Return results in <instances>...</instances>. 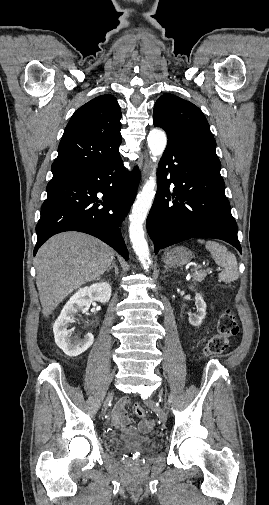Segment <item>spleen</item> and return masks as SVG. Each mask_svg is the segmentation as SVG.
Segmentation results:
<instances>
[{"mask_svg":"<svg viewBox=\"0 0 269 505\" xmlns=\"http://www.w3.org/2000/svg\"><path fill=\"white\" fill-rule=\"evenodd\" d=\"M198 242L205 244L216 264L223 268V271L218 275L220 281L229 283L239 278L237 259L232 252L216 241L205 242L203 239H198Z\"/></svg>","mask_w":269,"mask_h":505,"instance_id":"obj_1","label":"spleen"}]
</instances>
